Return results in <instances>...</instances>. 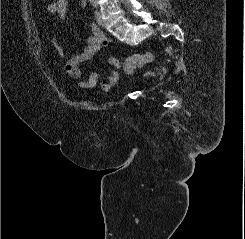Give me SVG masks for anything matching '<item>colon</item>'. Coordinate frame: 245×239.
<instances>
[{
	"label": "colon",
	"mask_w": 245,
	"mask_h": 239,
	"mask_svg": "<svg viewBox=\"0 0 245 239\" xmlns=\"http://www.w3.org/2000/svg\"><path fill=\"white\" fill-rule=\"evenodd\" d=\"M153 61V55L150 53L134 54L128 57L124 62V70L131 73L135 67L143 66Z\"/></svg>",
	"instance_id": "colon-1"
}]
</instances>
